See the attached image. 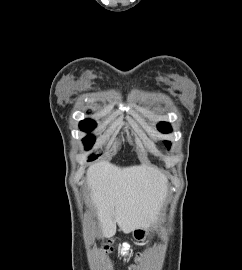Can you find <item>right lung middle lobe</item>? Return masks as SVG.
Returning a JSON list of instances; mask_svg holds the SVG:
<instances>
[{"label": "right lung middle lobe", "mask_w": 242, "mask_h": 270, "mask_svg": "<svg viewBox=\"0 0 242 270\" xmlns=\"http://www.w3.org/2000/svg\"><path fill=\"white\" fill-rule=\"evenodd\" d=\"M97 126L96 122L91 119H86L80 122L79 127L82 131L89 132L92 131ZM95 142V137L92 135H88L83 139V143L87 150L91 148V146ZM99 155H91L88 161L95 160Z\"/></svg>", "instance_id": "1"}]
</instances>
